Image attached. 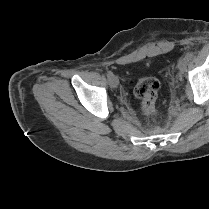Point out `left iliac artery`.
Listing matches in <instances>:
<instances>
[{
	"instance_id": "obj_1",
	"label": "left iliac artery",
	"mask_w": 209,
	"mask_h": 209,
	"mask_svg": "<svg viewBox=\"0 0 209 209\" xmlns=\"http://www.w3.org/2000/svg\"><path fill=\"white\" fill-rule=\"evenodd\" d=\"M185 58L187 59V61L191 60L193 58V52L186 53Z\"/></svg>"
}]
</instances>
